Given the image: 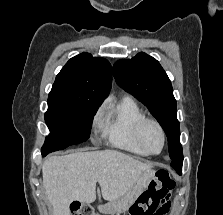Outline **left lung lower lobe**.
<instances>
[{"instance_id":"left-lung-lower-lobe-1","label":"left lung lower lobe","mask_w":223,"mask_h":215,"mask_svg":"<svg viewBox=\"0 0 223 215\" xmlns=\"http://www.w3.org/2000/svg\"><path fill=\"white\" fill-rule=\"evenodd\" d=\"M179 174H181L182 166L181 167H173Z\"/></svg>"}]
</instances>
